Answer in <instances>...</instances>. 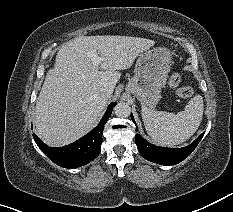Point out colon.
I'll use <instances>...</instances> for the list:
<instances>
[{
  "instance_id": "colon-1",
  "label": "colon",
  "mask_w": 233,
  "mask_h": 212,
  "mask_svg": "<svg viewBox=\"0 0 233 212\" xmlns=\"http://www.w3.org/2000/svg\"><path fill=\"white\" fill-rule=\"evenodd\" d=\"M182 81V75L180 73H174L169 80L170 87L181 98H191L194 95V90L188 86H180Z\"/></svg>"
}]
</instances>
